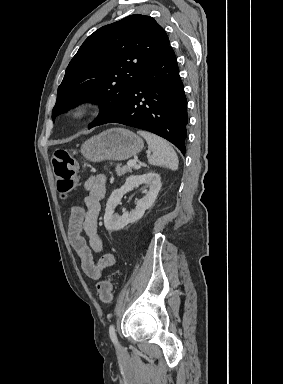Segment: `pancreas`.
<instances>
[{
  "label": "pancreas",
  "instance_id": "1",
  "mask_svg": "<svg viewBox=\"0 0 283 384\" xmlns=\"http://www.w3.org/2000/svg\"><path fill=\"white\" fill-rule=\"evenodd\" d=\"M117 176H123V174H127V172H131L132 168L131 166H116L115 168Z\"/></svg>",
  "mask_w": 283,
  "mask_h": 384
}]
</instances>
